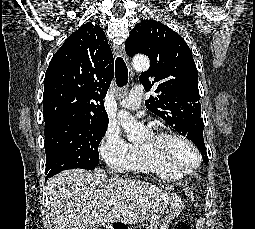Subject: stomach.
Returning <instances> with one entry per match:
<instances>
[{
  "label": "stomach",
  "instance_id": "stomach-1",
  "mask_svg": "<svg viewBox=\"0 0 255 229\" xmlns=\"http://www.w3.org/2000/svg\"><path fill=\"white\" fill-rule=\"evenodd\" d=\"M184 207L179 196H174L166 206L152 214L147 229H168L169 224L180 214Z\"/></svg>",
  "mask_w": 255,
  "mask_h": 229
}]
</instances>
